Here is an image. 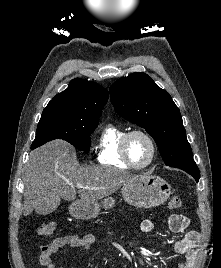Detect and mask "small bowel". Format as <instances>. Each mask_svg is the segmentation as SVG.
<instances>
[{"label":"small bowel","instance_id":"c3829d8e","mask_svg":"<svg viewBox=\"0 0 221 268\" xmlns=\"http://www.w3.org/2000/svg\"><path fill=\"white\" fill-rule=\"evenodd\" d=\"M189 219L181 214H173L169 218V227L171 231L183 232L189 226ZM141 230L144 233H151L155 230V222L151 219H145L141 222ZM95 235L92 233L84 235H66L54 239L52 242L40 247L38 262L45 268H55L52 261V255L63 247L88 248L95 242ZM200 235L197 231H189L184 237L175 242L173 250L178 255H183L184 259L177 268H193L198 254V244Z\"/></svg>","mask_w":221,"mask_h":268}]
</instances>
